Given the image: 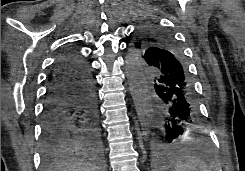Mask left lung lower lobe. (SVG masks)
Returning a JSON list of instances; mask_svg holds the SVG:
<instances>
[{
    "label": "left lung lower lobe",
    "mask_w": 245,
    "mask_h": 171,
    "mask_svg": "<svg viewBox=\"0 0 245 171\" xmlns=\"http://www.w3.org/2000/svg\"><path fill=\"white\" fill-rule=\"evenodd\" d=\"M148 61H137L134 67H142V74L149 82L157 107L155 122L161 133L160 138L151 136L149 145L157 162L166 159L176 152L166 145L179 141L199 125L200 113L195 97L192 80L178 50L164 49L154 51Z\"/></svg>",
    "instance_id": "1"
}]
</instances>
